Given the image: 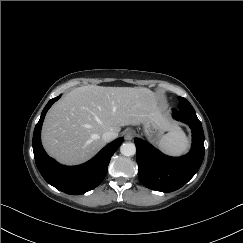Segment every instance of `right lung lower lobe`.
Here are the masks:
<instances>
[{
    "mask_svg": "<svg viewBox=\"0 0 243 243\" xmlns=\"http://www.w3.org/2000/svg\"><path fill=\"white\" fill-rule=\"evenodd\" d=\"M61 96V95H60ZM60 96L51 99L42 111L33 134V151L38 170L43 178L60 191L71 195L83 194L100 185L107 174L110 158L123 142V138L105 146L90 161L78 166H64L50 158L41 144V127L46 112Z\"/></svg>",
    "mask_w": 243,
    "mask_h": 243,
    "instance_id": "right-lung-lower-lobe-1",
    "label": "right lung lower lobe"
}]
</instances>
